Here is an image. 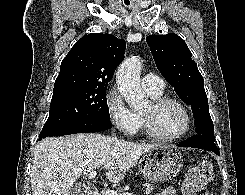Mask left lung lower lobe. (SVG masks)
I'll list each match as a JSON object with an SVG mask.
<instances>
[{"label":"left lung lower lobe","mask_w":245,"mask_h":195,"mask_svg":"<svg viewBox=\"0 0 245 195\" xmlns=\"http://www.w3.org/2000/svg\"><path fill=\"white\" fill-rule=\"evenodd\" d=\"M178 146L200 148L212 151L215 154L220 155L215 141H212L208 137L199 134L186 139L185 141L179 143Z\"/></svg>","instance_id":"obj_1"}]
</instances>
